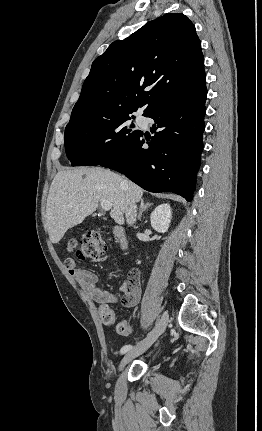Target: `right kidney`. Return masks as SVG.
<instances>
[{
  "instance_id": "1",
  "label": "right kidney",
  "mask_w": 262,
  "mask_h": 431,
  "mask_svg": "<svg viewBox=\"0 0 262 431\" xmlns=\"http://www.w3.org/2000/svg\"><path fill=\"white\" fill-rule=\"evenodd\" d=\"M171 208L169 204H161L157 206L151 213V226L154 230L164 233L168 230L171 222Z\"/></svg>"
}]
</instances>
